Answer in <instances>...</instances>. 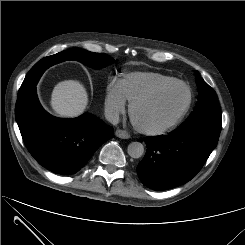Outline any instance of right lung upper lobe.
<instances>
[{"label":"right lung upper lobe","instance_id":"obj_1","mask_svg":"<svg viewBox=\"0 0 245 245\" xmlns=\"http://www.w3.org/2000/svg\"><path fill=\"white\" fill-rule=\"evenodd\" d=\"M55 63H57L56 59L54 57H51V56L45 57L36 63V66L38 67L37 71L32 74V71L30 70L24 79L25 82H28V86H29L28 92L31 91L33 88H35V86H36L39 78L43 74V72L48 67H50L51 65H53Z\"/></svg>","mask_w":245,"mask_h":245}]
</instances>
